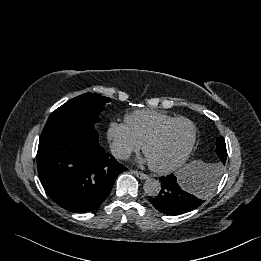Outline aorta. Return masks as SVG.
<instances>
[{
  "label": "aorta",
  "mask_w": 261,
  "mask_h": 261,
  "mask_svg": "<svg viewBox=\"0 0 261 261\" xmlns=\"http://www.w3.org/2000/svg\"><path fill=\"white\" fill-rule=\"evenodd\" d=\"M161 190V183L160 181L149 178L144 183V191L145 193L150 197L158 196L159 192Z\"/></svg>",
  "instance_id": "obj_1"
}]
</instances>
